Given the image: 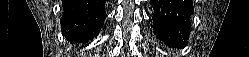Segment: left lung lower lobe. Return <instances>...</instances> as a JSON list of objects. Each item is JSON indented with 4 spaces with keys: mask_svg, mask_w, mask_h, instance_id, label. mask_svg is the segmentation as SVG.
Returning a JSON list of instances; mask_svg holds the SVG:
<instances>
[{
    "mask_svg": "<svg viewBox=\"0 0 249 57\" xmlns=\"http://www.w3.org/2000/svg\"><path fill=\"white\" fill-rule=\"evenodd\" d=\"M153 29L166 45L184 47L189 38L192 0H151Z\"/></svg>",
    "mask_w": 249,
    "mask_h": 57,
    "instance_id": "1",
    "label": "left lung lower lobe"
}]
</instances>
